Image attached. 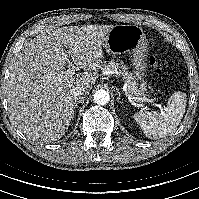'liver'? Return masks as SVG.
Returning <instances> with one entry per match:
<instances>
[{
    "label": "liver",
    "instance_id": "obj_1",
    "mask_svg": "<svg viewBox=\"0 0 199 199\" xmlns=\"http://www.w3.org/2000/svg\"><path fill=\"white\" fill-rule=\"evenodd\" d=\"M113 27L48 29L24 45L10 66L7 81V102L19 130L44 142L56 141L65 134L74 113L70 90L82 86L89 93L102 67L103 39ZM68 57L85 71L67 76Z\"/></svg>",
    "mask_w": 199,
    "mask_h": 199
}]
</instances>
